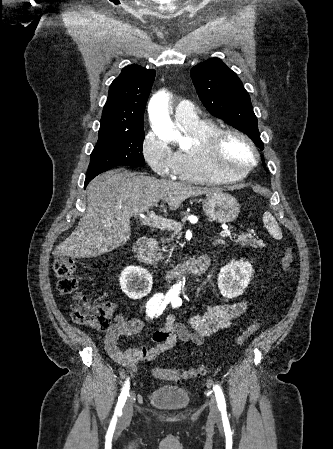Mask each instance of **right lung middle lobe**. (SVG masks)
<instances>
[{"instance_id": "1", "label": "right lung middle lobe", "mask_w": 333, "mask_h": 449, "mask_svg": "<svg viewBox=\"0 0 333 449\" xmlns=\"http://www.w3.org/2000/svg\"><path fill=\"white\" fill-rule=\"evenodd\" d=\"M144 130L136 133L99 132V139L90 156L87 176L95 177L119 165H145L142 154Z\"/></svg>"}]
</instances>
